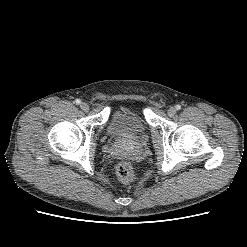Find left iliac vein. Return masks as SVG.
I'll list each match as a JSON object with an SVG mask.
<instances>
[{"label": "left iliac vein", "mask_w": 247, "mask_h": 247, "mask_svg": "<svg viewBox=\"0 0 247 247\" xmlns=\"http://www.w3.org/2000/svg\"><path fill=\"white\" fill-rule=\"evenodd\" d=\"M176 108H174V107H170L169 109H168V111H167V113H168V115L170 116V117H172V116H174L175 114H176Z\"/></svg>", "instance_id": "4c4485c4"}]
</instances>
